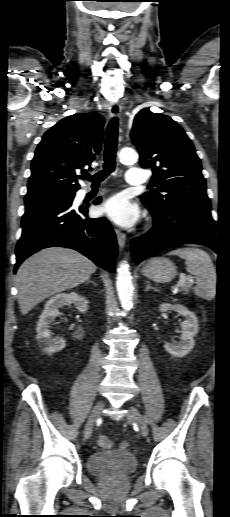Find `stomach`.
<instances>
[{"label": "stomach", "mask_w": 230, "mask_h": 517, "mask_svg": "<svg viewBox=\"0 0 230 517\" xmlns=\"http://www.w3.org/2000/svg\"><path fill=\"white\" fill-rule=\"evenodd\" d=\"M142 274L157 282H169L177 274L175 264L166 258H155L150 260L142 269Z\"/></svg>", "instance_id": "obj_1"}]
</instances>
